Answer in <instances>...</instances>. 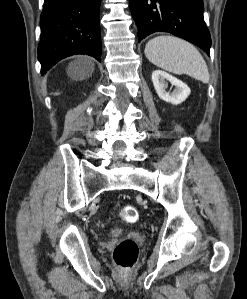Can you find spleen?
Segmentation results:
<instances>
[{"instance_id":"obj_1","label":"spleen","mask_w":247,"mask_h":299,"mask_svg":"<svg viewBox=\"0 0 247 299\" xmlns=\"http://www.w3.org/2000/svg\"><path fill=\"white\" fill-rule=\"evenodd\" d=\"M145 55L157 67L174 74H187L209 83L206 62L191 43L173 36H158L146 44Z\"/></svg>"}]
</instances>
